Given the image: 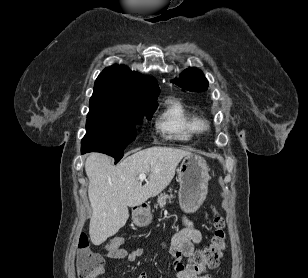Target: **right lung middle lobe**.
<instances>
[{
    "mask_svg": "<svg viewBox=\"0 0 308 278\" xmlns=\"http://www.w3.org/2000/svg\"><path fill=\"white\" fill-rule=\"evenodd\" d=\"M157 102L126 117L87 118L86 135L82 139L81 152L98 151L115 158V163L124 155L126 146L135 139L134 125L140 124L144 113L150 120L156 111Z\"/></svg>",
    "mask_w": 308,
    "mask_h": 278,
    "instance_id": "1",
    "label": "right lung middle lobe"
}]
</instances>
